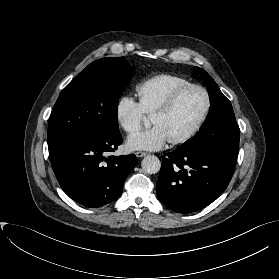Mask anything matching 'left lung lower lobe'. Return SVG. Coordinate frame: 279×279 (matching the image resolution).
<instances>
[{"instance_id":"obj_1","label":"left lung lower lobe","mask_w":279,"mask_h":279,"mask_svg":"<svg viewBox=\"0 0 279 279\" xmlns=\"http://www.w3.org/2000/svg\"><path fill=\"white\" fill-rule=\"evenodd\" d=\"M234 163L235 160L213 152L189 155L176 149L161 164L157 196L177 213L201 210L227 188Z\"/></svg>"}]
</instances>
